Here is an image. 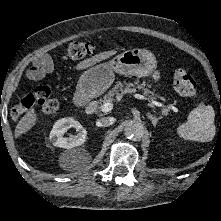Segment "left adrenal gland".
I'll return each instance as SVG.
<instances>
[{
	"mask_svg": "<svg viewBox=\"0 0 221 221\" xmlns=\"http://www.w3.org/2000/svg\"><path fill=\"white\" fill-rule=\"evenodd\" d=\"M146 116L152 121L153 126H156L158 121L161 119L160 117L153 116L151 113H147Z\"/></svg>",
	"mask_w": 221,
	"mask_h": 221,
	"instance_id": "a2214340",
	"label": "left adrenal gland"
}]
</instances>
